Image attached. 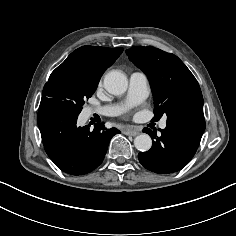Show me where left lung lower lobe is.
I'll return each instance as SVG.
<instances>
[{
    "mask_svg": "<svg viewBox=\"0 0 236 236\" xmlns=\"http://www.w3.org/2000/svg\"><path fill=\"white\" fill-rule=\"evenodd\" d=\"M206 128L202 110L188 109L176 113L167 119L165 129L155 131L144 128L153 140L147 152H140L138 159L148 170L167 174L184 168L193 158Z\"/></svg>",
    "mask_w": 236,
    "mask_h": 236,
    "instance_id": "obj_1",
    "label": "left lung lower lobe"
}]
</instances>
